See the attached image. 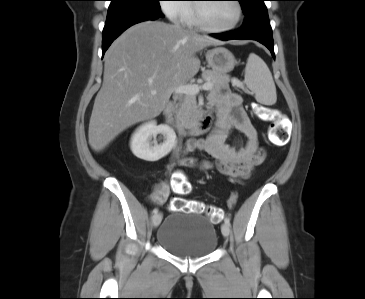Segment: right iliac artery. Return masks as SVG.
<instances>
[{
	"label": "right iliac artery",
	"instance_id": "right-iliac-artery-1",
	"mask_svg": "<svg viewBox=\"0 0 365 299\" xmlns=\"http://www.w3.org/2000/svg\"><path fill=\"white\" fill-rule=\"evenodd\" d=\"M158 213V209L157 208H154L153 209V214L155 215V214H157Z\"/></svg>",
	"mask_w": 365,
	"mask_h": 299
}]
</instances>
